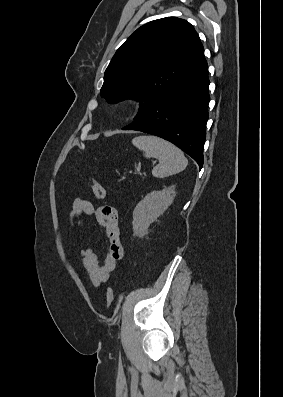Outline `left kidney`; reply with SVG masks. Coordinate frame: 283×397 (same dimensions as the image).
Listing matches in <instances>:
<instances>
[{"mask_svg":"<svg viewBox=\"0 0 283 397\" xmlns=\"http://www.w3.org/2000/svg\"><path fill=\"white\" fill-rule=\"evenodd\" d=\"M175 196V187H168L162 191H153L147 194L133 211L134 235L137 237L145 236L150 224L168 209Z\"/></svg>","mask_w":283,"mask_h":397,"instance_id":"obj_1","label":"left kidney"}]
</instances>
